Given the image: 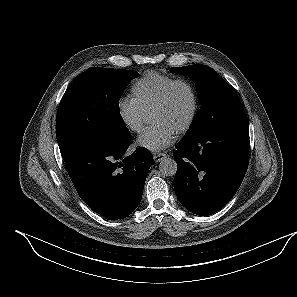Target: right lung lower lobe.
Wrapping results in <instances>:
<instances>
[{
	"instance_id": "right-lung-lower-lobe-1",
	"label": "right lung lower lobe",
	"mask_w": 297,
	"mask_h": 297,
	"mask_svg": "<svg viewBox=\"0 0 297 297\" xmlns=\"http://www.w3.org/2000/svg\"><path fill=\"white\" fill-rule=\"evenodd\" d=\"M132 136L94 142L65 161L68 174L82 200L96 213L123 219L139 205L153 164L149 150L138 148L126 156Z\"/></svg>"
}]
</instances>
